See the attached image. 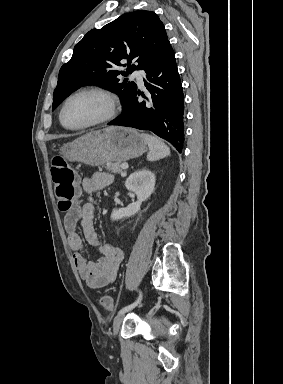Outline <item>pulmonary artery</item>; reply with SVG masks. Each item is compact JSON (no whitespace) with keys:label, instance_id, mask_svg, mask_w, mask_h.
<instances>
[{"label":"pulmonary artery","instance_id":"pulmonary-artery-1","mask_svg":"<svg viewBox=\"0 0 283 384\" xmlns=\"http://www.w3.org/2000/svg\"><path fill=\"white\" fill-rule=\"evenodd\" d=\"M135 76H144L143 73L140 72V69L139 68H134L133 69V73H132V77L135 78ZM140 86H143L144 83H138Z\"/></svg>","mask_w":283,"mask_h":384}]
</instances>
